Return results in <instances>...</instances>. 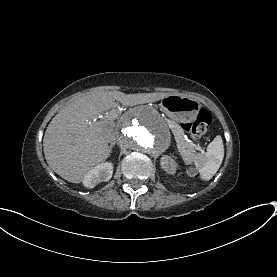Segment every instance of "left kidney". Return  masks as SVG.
Listing matches in <instances>:
<instances>
[{"label":"left kidney","mask_w":277,"mask_h":277,"mask_svg":"<svg viewBox=\"0 0 277 277\" xmlns=\"http://www.w3.org/2000/svg\"><path fill=\"white\" fill-rule=\"evenodd\" d=\"M161 168L168 174H175L177 163L168 155H163L160 160Z\"/></svg>","instance_id":"5707ae66"}]
</instances>
